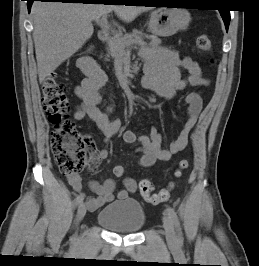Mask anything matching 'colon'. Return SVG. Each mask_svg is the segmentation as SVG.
<instances>
[{
	"label": "colon",
	"instance_id": "obj_1",
	"mask_svg": "<svg viewBox=\"0 0 259 266\" xmlns=\"http://www.w3.org/2000/svg\"><path fill=\"white\" fill-rule=\"evenodd\" d=\"M196 45L205 52L212 50L211 40L204 33L198 35ZM42 104L48 121L53 125L51 149L59 170L66 175L78 174L86 165V148L91 145V140L79 132L70 119L66 86L55 74L50 75L42 86ZM188 166L187 160L179 161L175 177H180ZM113 171L117 177H122L125 173L123 166H116ZM172 187L170 184L154 193V185L149 179H143L139 183L141 196L151 204L167 201L171 196Z\"/></svg>",
	"mask_w": 259,
	"mask_h": 266
}]
</instances>
